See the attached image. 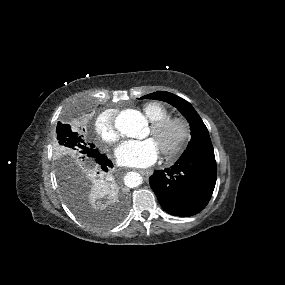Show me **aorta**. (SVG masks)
<instances>
[{
  "label": "aorta",
  "instance_id": "obj_1",
  "mask_svg": "<svg viewBox=\"0 0 285 285\" xmlns=\"http://www.w3.org/2000/svg\"><path fill=\"white\" fill-rule=\"evenodd\" d=\"M117 130L131 138H143L147 133V120L137 110L127 109L119 113L115 120ZM142 183L139 173L129 172L125 176V184L130 188L138 187Z\"/></svg>",
  "mask_w": 285,
  "mask_h": 285
}]
</instances>
